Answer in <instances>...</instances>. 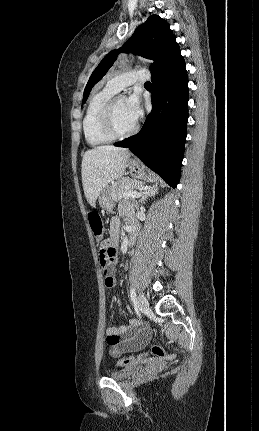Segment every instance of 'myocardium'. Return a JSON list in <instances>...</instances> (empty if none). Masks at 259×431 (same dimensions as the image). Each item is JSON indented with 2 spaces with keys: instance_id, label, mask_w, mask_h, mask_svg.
<instances>
[{
  "instance_id": "obj_1",
  "label": "myocardium",
  "mask_w": 259,
  "mask_h": 431,
  "mask_svg": "<svg viewBox=\"0 0 259 431\" xmlns=\"http://www.w3.org/2000/svg\"><path fill=\"white\" fill-rule=\"evenodd\" d=\"M120 98L124 97L122 95H114L113 97H111L103 106L100 114V121L103 131L113 139L129 137L135 134L138 130L137 123H135L134 126L127 131H120L117 128L114 118V110L115 105Z\"/></svg>"
}]
</instances>
